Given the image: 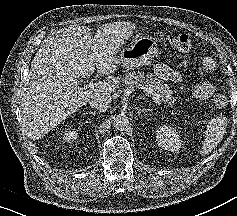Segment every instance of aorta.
Masks as SVG:
<instances>
[{
  "instance_id": "obj_1",
  "label": "aorta",
  "mask_w": 237,
  "mask_h": 216,
  "mask_svg": "<svg viewBox=\"0 0 237 216\" xmlns=\"http://www.w3.org/2000/svg\"><path fill=\"white\" fill-rule=\"evenodd\" d=\"M112 125L115 129L123 131L129 125V119L125 114H117L113 117Z\"/></svg>"
}]
</instances>
